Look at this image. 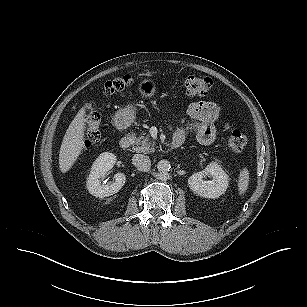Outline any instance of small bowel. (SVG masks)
<instances>
[{"instance_id": "small-bowel-1", "label": "small bowel", "mask_w": 307, "mask_h": 307, "mask_svg": "<svg viewBox=\"0 0 307 307\" xmlns=\"http://www.w3.org/2000/svg\"><path fill=\"white\" fill-rule=\"evenodd\" d=\"M187 114L192 123L178 127L174 138L185 140L188 130H192L197 142L209 145L216 139L215 123L220 117V109L211 102L197 101L188 106Z\"/></svg>"}]
</instances>
